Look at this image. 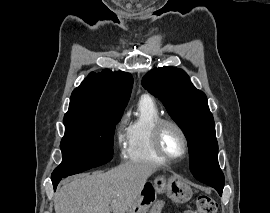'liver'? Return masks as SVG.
I'll use <instances>...</instances> for the list:
<instances>
[{"label":"liver","mask_w":270,"mask_h":213,"mask_svg":"<svg viewBox=\"0 0 270 213\" xmlns=\"http://www.w3.org/2000/svg\"><path fill=\"white\" fill-rule=\"evenodd\" d=\"M157 169L128 162L105 173L76 177L57 191L55 213H125Z\"/></svg>","instance_id":"liver-1"}]
</instances>
